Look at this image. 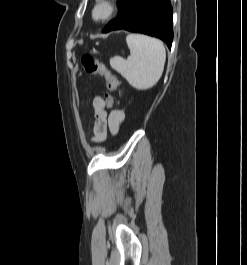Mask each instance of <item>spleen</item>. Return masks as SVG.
Here are the masks:
<instances>
[{
    "label": "spleen",
    "instance_id": "spleen-1",
    "mask_svg": "<svg viewBox=\"0 0 247 265\" xmlns=\"http://www.w3.org/2000/svg\"><path fill=\"white\" fill-rule=\"evenodd\" d=\"M126 42L130 56L126 60L120 56L111 58V67L135 89L152 88L164 70L166 51L163 43L159 39L142 34H129Z\"/></svg>",
    "mask_w": 247,
    "mask_h": 265
}]
</instances>
